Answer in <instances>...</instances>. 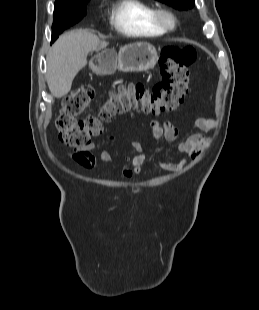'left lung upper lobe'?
<instances>
[{
	"instance_id": "obj_1",
	"label": "left lung upper lobe",
	"mask_w": 259,
	"mask_h": 310,
	"mask_svg": "<svg viewBox=\"0 0 259 310\" xmlns=\"http://www.w3.org/2000/svg\"><path fill=\"white\" fill-rule=\"evenodd\" d=\"M179 10H187L195 5L194 0H158Z\"/></svg>"
}]
</instances>
